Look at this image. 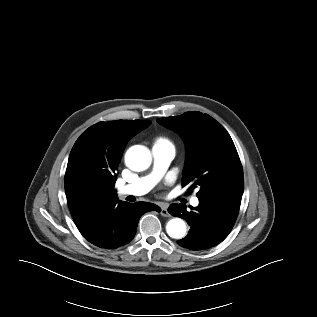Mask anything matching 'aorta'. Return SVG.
I'll return each mask as SVG.
<instances>
[{"instance_id":"aorta-1","label":"aorta","mask_w":317,"mask_h":317,"mask_svg":"<svg viewBox=\"0 0 317 317\" xmlns=\"http://www.w3.org/2000/svg\"><path fill=\"white\" fill-rule=\"evenodd\" d=\"M152 162L150 150L142 145L130 147L125 154V163L133 171H144L149 168ZM187 231L186 224L181 218L175 217L166 225L167 234L174 239H181Z\"/></svg>"}]
</instances>
